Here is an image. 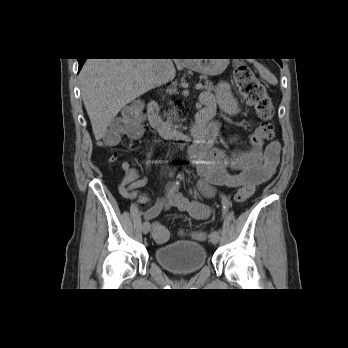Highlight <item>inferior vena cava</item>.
I'll use <instances>...</instances> for the list:
<instances>
[{
    "label": "inferior vena cava",
    "mask_w": 348,
    "mask_h": 348,
    "mask_svg": "<svg viewBox=\"0 0 348 348\" xmlns=\"http://www.w3.org/2000/svg\"><path fill=\"white\" fill-rule=\"evenodd\" d=\"M169 59H154V66H155V71L157 73L158 77V85H162V77H163V72L165 69V66L167 65Z\"/></svg>",
    "instance_id": "1"
}]
</instances>
